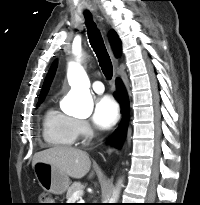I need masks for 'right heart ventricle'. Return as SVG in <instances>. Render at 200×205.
<instances>
[{
	"label": "right heart ventricle",
	"mask_w": 200,
	"mask_h": 205,
	"mask_svg": "<svg viewBox=\"0 0 200 205\" xmlns=\"http://www.w3.org/2000/svg\"><path fill=\"white\" fill-rule=\"evenodd\" d=\"M76 120L55 107H49L42 120L44 141L53 147H72L77 139Z\"/></svg>",
	"instance_id": "e07e8e85"
}]
</instances>
